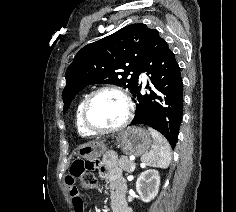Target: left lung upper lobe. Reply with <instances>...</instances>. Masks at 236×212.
<instances>
[{
	"label": "left lung upper lobe",
	"mask_w": 236,
	"mask_h": 212,
	"mask_svg": "<svg viewBox=\"0 0 236 212\" xmlns=\"http://www.w3.org/2000/svg\"><path fill=\"white\" fill-rule=\"evenodd\" d=\"M152 30L141 23L128 25L80 49L66 71L63 112L88 85L115 84L133 93Z\"/></svg>",
	"instance_id": "left-lung-upper-lobe-1"
}]
</instances>
